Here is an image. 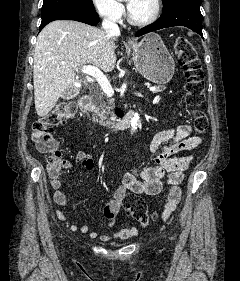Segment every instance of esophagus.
<instances>
[{
	"instance_id": "1",
	"label": "esophagus",
	"mask_w": 240,
	"mask_h": 281,
	"mask_svg": "<svg viewBox=\"0 0 240 281\" xmlns=\"http://www.w3.org/2000/svg\"><path fill=\"white\" fill-rule=\"evenodd\" d=\"M127 44H128V45H133L134 42H133L131 39H128V40H127Z\"/></svg>"
}]
</instances>
